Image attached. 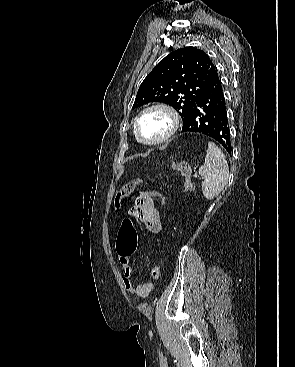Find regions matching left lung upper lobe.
Masks as SVG:
<instances>
[{
    "label": "left lung upper lobe",
    "mask_w": 295,
    "mask_h": 367,
    "mask_svg": "<svg viewBox=\"0 0 295 367\" xmlns=\"http://www.w3.org/2000/svg\"><path fill=\"white\" fill-rule=\"evenodd\" d=\"M215 70L204 51L195 47L177 49L146 76L139 87L133 108L149 102H163L172 106L184 121Z\"/></svg>",
    "instance_id": "5c2ea615"
}]
</instances>
